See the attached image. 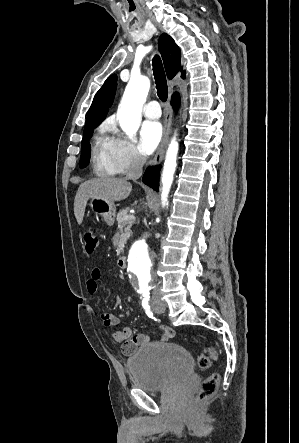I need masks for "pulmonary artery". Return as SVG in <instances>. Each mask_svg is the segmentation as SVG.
Wrapping results in <instances>:
<instances>
[{
  "instance_id": "e3ab8cb5",
  "label": "pulmonary artery",
  "mask_w": 299,
  "mask_h": 443,
  "mask_svg": "<svg viewBox=\"0 0 299 443\" xmlns=\"http://www.w3.org/2000/svg\"><path fill=\"white\" fill-rule=\"evenodd\" d=\"M144 115L149 119H157L161 116V109L157 101H150L144 107Z\"/></svg>"
}]
</instances>
